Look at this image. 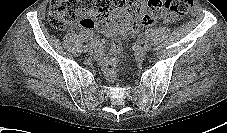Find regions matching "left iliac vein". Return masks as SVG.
Segmentation results:
<instances>
[{
  "instance_id": "4c4485c4",
  "label": "left iliac vein",
  "mask_w": 227,
  "mask_h": 133,
  "mask_svg": "<svg viewBox=\"0 0 227 133\" xmlns=\"http://www.w3.org/2000/svg\"><path fill=\"white\" fill-rule=\"evenodd\" d=\"M146 53L147 50L145 48H139L136 50V56L141 59L145 57Z\"/></svg>"
}]
</instances>
